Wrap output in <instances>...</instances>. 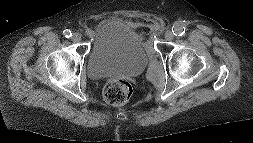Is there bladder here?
Returning <instances> with one entry per match:
<instances>
[{
    "label": "bladder",
    "instance_id": "1",
    "mask_svg": "<svg viewBox=\"0 0 253 143\" xmlns=\"http://www.w3.org/2000/svg\"><path fill=\"white\" fill-rule=\"evenodd\" d=\"M143 33L119 17L100 21L92 36L87 71L91 78L101 79L115 74L136 76L150 60Z\"/></svg>",
    "mask_w": 253,
    "mask_h": 143
}]
</instances>
